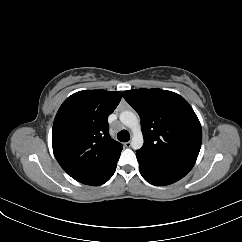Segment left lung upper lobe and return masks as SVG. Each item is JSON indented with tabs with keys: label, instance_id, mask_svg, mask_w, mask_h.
<instances>
[{
	"label": "left lung upper lobe",
	"instance_id": "5c2ea615",
	"mask_svg": "<svg viewBox=\"0 0 242 242\" xmlns=\"http://www.w3.org/2000/svg\"><path fill=\"white\" fill-rule=\"evenodd\" d=\"M141 118L144 145L138 150L156 161L191 170L198 157L202 128L189 103L161 89L124 91Z\"/></svg>",
	"mask_w": 242,
	"mask_h": 242
}]
</instances>
